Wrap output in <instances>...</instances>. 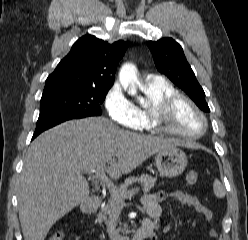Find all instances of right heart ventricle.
I'll return each instance as SVG.
<instances>
[{
    "instance_id": "e07e8e85",
    "label": "right heart ventricle",
    "mask_w": 248,
    "mask_h": 240,
    "mask_svg": "<svg viewBox=\"0 0 248 240\" xmlns=\"http://www.w3.org/2000/svg\"><path fill=\"white\" fill-rule=\"evenodd\" d=\"M142 91L147 97L148 106L136 107L140 120V128L152 131L154 128L151 123V112L154 106L164 97L177 92L174 85L168 80L158 77L147 79L142 84Z\"/></svg>"
}]
</instances>
